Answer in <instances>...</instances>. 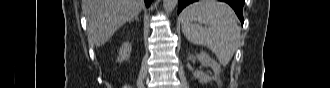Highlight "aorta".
Instances as JSON below:
<instances>
[{
  "label": "aorta",
  "mask_w": 330,
  "mask_h": 88,
  "mask_svg": "<svg viewBox=\"0 0 330 88\" xmlns=\"http://www.w3.org/2000/svg\"><path fill=\"white\" fill-rule=\"evenodd\" d=\"M178 0H163V7L166 13H171L177 6Z\"/></svg>",
  "instance_id": "1"
}]
</instances>
